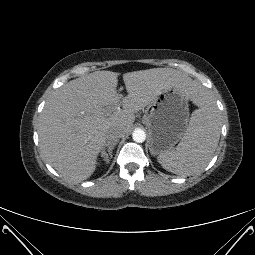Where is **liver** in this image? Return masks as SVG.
<instances>
[{"label":"liver","instance_id":"obj_1","mask_svg":"<svg viewBox=\"0 0 255 255\" xmlns=\"http://www.w3.org/2000/svg\"><path fill=\"white\" fill-rule=\"evenodd\" d=\"M128 95L117 92L118 73L96 71L62 85L47 100L40 115L39 141L47 162L64 178L81 182L95 171L110 128L128 133L134 113L152 103L164 89L176 86L195 103L205 93L188 75L172 68L123 74ZM122 105L108 113V105Z\"/></svg>","mask_w":255,"mask_h":255}]
</instances>
